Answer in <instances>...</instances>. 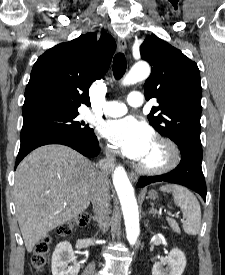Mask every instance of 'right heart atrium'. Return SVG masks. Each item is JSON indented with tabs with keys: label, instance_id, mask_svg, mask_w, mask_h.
<instances>
[{
	"label": "right heart atrium",
	"instance_id": "d8ad5b80",
	"mask_svg": "<svg viewBox=\"0 0 225 275\" xmlns=\"http://www.w3.org/2000/svg\"><path fill=\"white\" fill-rule=\"evenodd\" d=\"M108 158L113 159V152L111 150L108 151Z\"/></svg>",
	"mask_w": 225,
	"mask_h": 275
}]
</instances>
